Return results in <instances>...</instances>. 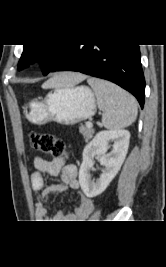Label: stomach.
Masks as SVG:
<instances>
[{
	"label": "stomach",
	"instance_id": "obj_1",
	"mask_svg": "<svg viewBox=\"0 0 166 267\" xmlns=\"http://www.w3.org/2000/svg\"><path fill=\"white\" fill-rule=\"evenodd\" d=\"M95 113V95L87 86L54 88L42 101H32L26 107V116L34 124L55 121L72 125L91 118Z\"/></svg>",
	"mask_w": 166,
	"mask_h": 267
}]
</instances>
